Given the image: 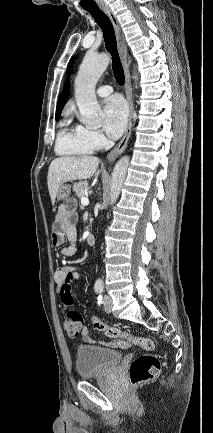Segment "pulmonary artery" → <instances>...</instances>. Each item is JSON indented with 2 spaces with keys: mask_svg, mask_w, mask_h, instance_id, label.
Returning a JSON list of instances; mask_svg holds the SVG:
<instances>
[{
  "mask_svg": "<svg viewBox=\"0 0 213 433\" xmlns=\"http://www.w3.org/2000/svg\"><path fill=\"white\" fill-rule=\"evenodd\" d=\"M113 92V89L111 86L109 85H103L98 87L96 93L100 96V97H107L109 96L111 93Z\"/></svg>",
  "mask_w": 213,
  "mask_h": 433,
  "instance_id": "obj_1",
  "label": "pulmonary artery"
}]
</instances>
